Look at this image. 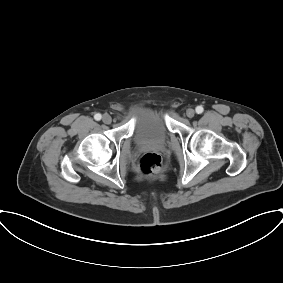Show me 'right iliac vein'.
Wrapping results in <instances>:
<instances>
[{"label": "right iliac vein", "instance_id": "obj_1", "mask_svg": "<svg viewBox=\"0 0 283 283\" xmlns=\"http://www.w3.org/2000/svg\"><path fill=\"white\" fill-rule=\"evenodd\" d=\"M102 121L105 123V124H110L111 121H112V118L109 114H104L103 117H102Z\"/></svg>", "mask_w": 283, "mask_h": 283}]
</instances>
